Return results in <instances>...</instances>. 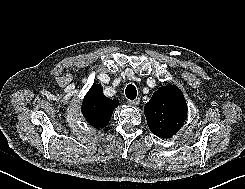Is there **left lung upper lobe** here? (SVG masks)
<instances>
[{
    "mask_svg": "<svg viewBox=\"0 0 245 189\" xmlns=\"http://www.w3.org/2000/svg\"><path fill=\"white\" fill-rule=\"evenodd\" d=\"M149 129L161 138L172 137L185 122L187 105L175 85L160 87L144 107Z\"/></svg>",
    "mask_w": 245,
    "mask_h": 189,
    "instance_id": "left-lung-upper-lobe-1",
    "label": "left lung upper lobe"
}]
</instances>
